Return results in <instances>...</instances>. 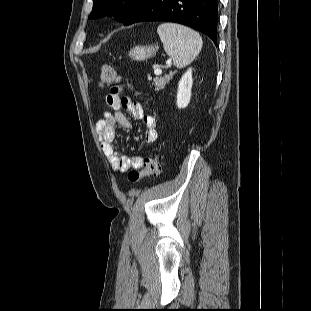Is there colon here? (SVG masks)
I'll use <instances>...</instances> for the list:
<instances>
[{
	"label": "colon",
	"instance_id": "obj_1",
	"mask_svg": "<svg viewBox=\"0 0 311 311\" xmlns=\"http://www.w3.org/2000/svg\"><path fill=\"white\" fill-rule=\"evenodd\" d=\"M120 80L119 74L113 65H105L101 69L99 82L103 87H110L112 94L119 92L118 82ZM161 154L155 153L149 156L144 161L142 170H131L128 173V179L131 183H137L142 178L157 176L161 171Z\"/></svg>",
	"mask_w": 311,
	"mask_h": 311
}]
</instances>
